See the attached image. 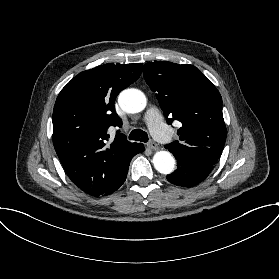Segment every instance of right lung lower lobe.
Segmentation results:
<instances>
[{
  "instance_id": "1",
  "label": "right lung lower lobe",
  "mask_w": 279,
  "mask_h": 279,
  "mask_svg": "<svg viewBox=\"0 0 279 279\" xmlns=\"http://www.w3.org/2000/svg\"><path fill=\"white\" fill-rule=\"evenodd\" d=\"M143 151V150H142ZM141 151V152H142ZM128 172V171H127ZM127 172L125 173V174H123L122 175V177L119 179V181L116 183V185L111 189V191H110V193L109 194H111V193H113L114 191H116L123 183H124V181H125V179H126V176H127ZM108 194V195H109Z\"/></svg>"
}]
</instances>
